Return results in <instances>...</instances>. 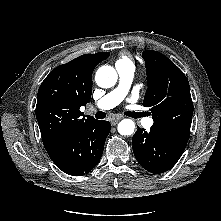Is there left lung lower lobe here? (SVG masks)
<instances>
[{"instance_id": "1", "label": "left lung lower lobe", "mask_w": 221, "mask_h": 221, "mask_svg": "<svg viewBox=\"0 0 221 221\" xmlns=\"http://www.w3.org/2000/svg\"><path fill=\"white\" fill-rule=\"evenodd\" d=\"M186 144L171 141L153 130L138 127L133 136V152L138 163L155 174L170 170L181 157Z\"/></svg>"}]
</instances>
